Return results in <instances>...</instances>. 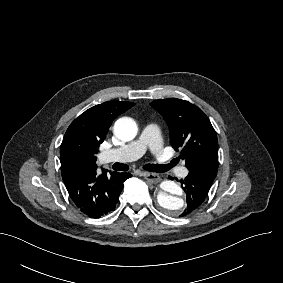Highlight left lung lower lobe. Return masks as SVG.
Segmentation results:
<instances>
[{
    "mask_svg": "<svg viewBox=\"0 0 283 283\" xmlns=\"http://www.w3.org/2000/svg\"><path fill=\"white\" fill-rule=\"evenodd\" d=\"M189 171L188 176L181 180L187 195V207L181 216H186L201 206L217 174L216 171L209 169H192Z\"/></svg>",
    "mask_w": 283,
    "mask_h": 283,
    "instance_id": "left-lung-lower-lobe-1",
    "label": "left lung lower lobe"
}]
</instances>
